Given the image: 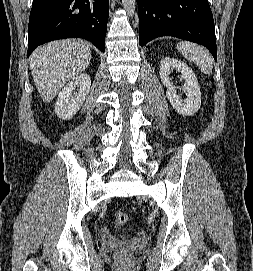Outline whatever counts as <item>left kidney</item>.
Masks as SVG:
<instances>
[{"mask_svg": "<svg viewBox=\"0 0 253 271\" xmlns=\"http://www.w3.org/2000/svg\"><path fill=\"white\" fill-rule=\"evenodd\" d=\"M176 69L181 73V80H184L182 90L186 95V99H180L177 91L169 77L170 71ZM160 79L164 86L167 87L166 96L176 110L183 116L195 114L201 106V92L198 80L194 72L185 64L176 59L165 57L160 62Z\"/></svg>", "mask_w": 253, "mask_h": 271, "instance_id": "5707ae66", "label": "left kidney"}]
</instances>
